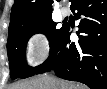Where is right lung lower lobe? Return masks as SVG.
Returning <instances> with one entry per match:
<instances>
[{
  "mask_svg": "<svg viewBox=\"0 0 107 89\" xmlns=\"http://www.w3.org/2000/svg\"><path fill=\"white\" fill-rule=\"evenodd\" d=\"M71 10H77L78 42L70 40L66 25L54 50L35 74L54 70L63 79L78 81L91 89L107 88V0H75Z\"/></svg>",
  "mask_w": 107,
  "mask_h": 89,
  "instance_id": "obj_1",
  "label": "right lung lower lobe"
}]
</instances>
